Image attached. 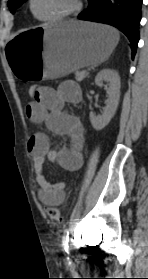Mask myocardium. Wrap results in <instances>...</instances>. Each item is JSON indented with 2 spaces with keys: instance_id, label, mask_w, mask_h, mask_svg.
Segmentation results:
<instances>
[{
  "instance_id": "myocardium-1",
  "label": "myocardium",
  "mask_w": 148,
  "mask_h": 279,
  "mask_svg": "<svg viewBox=\"0 0 148 279\" xmlns=\"http://www.w3.org/2000/svg\"><path fill=\"white\" fill-rule=\"evenodd\" d=\"M72 2H73L72 6L62 13H59L57 15L48 16V17H40L34 11V8H33L34 0H29V11L32 14V16L35 19H37L38 21L60 22V21L67 20L71 17H74L75 15H77L80 12V10L82 8L81 0H73Z\"/></svg>"
}]
</instances>
